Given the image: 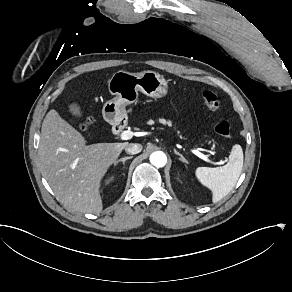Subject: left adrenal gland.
Returning a JSON list of instances; mask_svg holds the SVG:
<instances>
[{
    "mask_svg": "<svg viewBox=\"0 0 292 292\" xmlns=\"http://www.w3.org/2000/svg\"><path fill=\"white\" fill-rule=\"evenodd\" d=\"M174 152L176 155L180 156L179 160L184 162V163H187V160L184 158V156L182 154H180L179 152L176 151V149H174Z\"/></svg>",
    "mask_w": 292,
    "mask_h": 292,
    "instance_id": "left-adrenal-gland-1",
    "label": "left adrenal gland"
}]
</instances>
